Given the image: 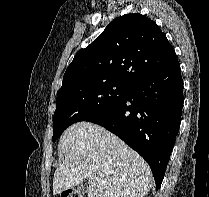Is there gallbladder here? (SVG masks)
Masks as SVG:
<instances>
[{
	"mask_svg": "<svg viewBox=\"0 0 209 197\" xmlns=\"http://www.w3.org/2000/svg\"><path fill=\"white\" fill-rule=\"evenodd\" d=\"M87 185L86 184H81L76 188V192L84 194L87 191Z\"/></svg>",
	"mask_w": 209,
	"mask_h": 197,
	"instance_id": "obj_1",
	"label": "gallbladder"
}]
</instances>
